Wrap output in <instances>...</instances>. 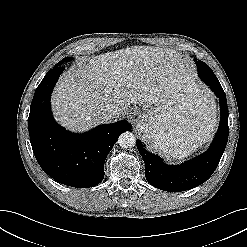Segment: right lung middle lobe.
<instances>
[{"mask_svg": "<svg viewBox=\"0 0 247 247\" xmlns=\"http://www.w3.org/2000/svg\"><path fill=\"white\" fill-rule=\"evenodd\" d=\"M70 60H71L70 57H66V58H64L62 61H60L57 65H61L62 62H67V61H70ZM57 65H56V66H57Z\"/></svg>", "mask_w": 247, "mask_h": 247, "instance_id": "right-lung-middle-lobe-1", "label": "right lung middle lobe"}]
</instances>
